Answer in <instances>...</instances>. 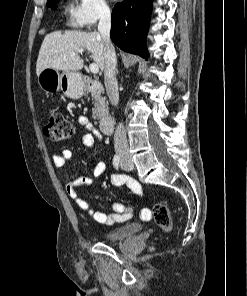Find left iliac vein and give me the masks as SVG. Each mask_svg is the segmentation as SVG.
<instances>
[{
  "mask_svg": "<svg viewBox=\"0 0 247 296\" xmlns=\"http://www.w3.org/2000/svg\"><path fill=\"white\" fill-rule=\"evenodd\" d=\"M121 168L126 171H131L134 169V164L130 159H126L121 162Z\"/></svg>",
  "mask_w": 247,
  "mask_h": 296,
  "instance_id": "1",
  "label": "left iliac vein"
}]
</instances>
